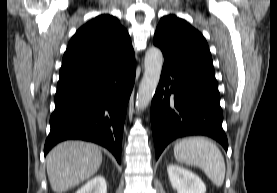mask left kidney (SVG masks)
<instances>
[{"label":"left kidney","instance_id":"left-kidney-1","mask_svg":"<svg viewBox=\"0 0 277 193\" xmlns=\"http://www.w3.org/2000/svg\"><path fill=\"white\" fill-rule=\"evenodd\" d=\"M167 172L171 185L177 193H206V186L203 181L182 166L169 164Z\"/></svg>","mask_w":277,"mask_h":193}]
</instances>
